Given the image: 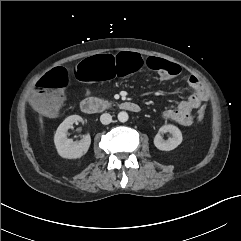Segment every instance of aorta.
<instances>
[{
  "mask_svg": "<svg viewBox=\"0 0 241 241\" xmlns=\"http://www.w3.org/2000/svg\"><path fill=\"white\" fill-rule=\"evenodd\" d=\"M129 116L127 112L121 111L118 113V120L122 123L126 122L128 120Z\"/></svg>",
  "mask_w": 241,
  "mask_h": 241,
  "instance_id": "1",
  "label": "aorta"
}]
</instances>
